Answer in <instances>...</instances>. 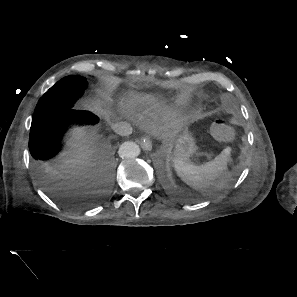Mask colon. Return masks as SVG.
Segmentation results:
<instances>
[{
  "mask_svg": "<svg viewBox=\"0 0 297 297\" xmlns=\"http://www.w3.org/2000/svg\"><path fill=\"white\" fill-rule=\"evenodd\" d=\"M231 127L224 122H218L213 126V135L221 140H226L229 138Z\"/></svg>",
  "mask_w": 297,
  "mask_h": 297,
  "instance_id": "colon-1",
  "label": "colon"
}]
</instances>
